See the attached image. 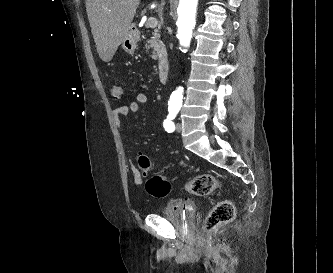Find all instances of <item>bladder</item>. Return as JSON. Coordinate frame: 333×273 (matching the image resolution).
<instances>
[{"mask_svg": "<svg viewBox=\"0 0 333 273\" xmlns=\"http://www.w3.org/2000/svg\"><path fill=\"white\" fill-rule=\"evenodd\" d=\"M161 215L175 227H189L195 220V206L191 201L174 200L162 209Z\"/></svg>", "mask_w": 333, "mask_h": 273, "instance_id": "obj_1", "label": "bladder"}]
</instances>
